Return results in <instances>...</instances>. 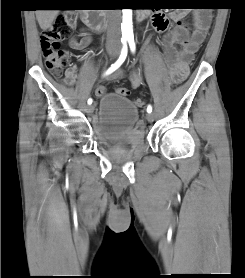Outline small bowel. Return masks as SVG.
<instances>
[{
    "label": "small bowel",
    "mask_w": 245,
    "mask_h": 278,
    "mask_svg": "<svg viewBox=\"0 0 245 278\" xmlns=\"http://www.w3.org/2000/svg\"><path fill=\"white\" fill-rule=\"evenodd\" d=\"M192 16L194 24L192 31L181 23L184 17L183 12H173L169 17L161 13L152 16L154 29L157 32L164 33L161 44L170 73L172 76L177 75L182 79L188 75L189 65L207 36L206 24L209 20V13L201 9H195ZM172 23H176V26L168 31ZM91 41L90 34L82 32L80 38L72 37L69 40V45L74 50H82L90 45ZM176 46H180V48L178 49ZM114 71V76L122 74L121 70L116 69ZM77 73V66L68 67L65 71L64 82L67 85H74L77 81ZM129 77L134 87L141 84L142 77L139 72H134ZM96 93L101 96L105 93V90L103 87H99Z\"/></svg>",
    "instance_id": "c3829d8e"
}]
</instances>
